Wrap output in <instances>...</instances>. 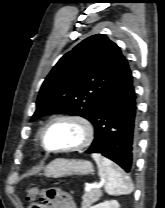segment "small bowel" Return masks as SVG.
<instances>
[{"instance_id":"small-bowel-1","label":"small bowel","mask_w":165,"mask_h":208,"mask_svg":"<svg viewBox=\"0 0 165 208\" xmlns=\"http://www.w3.org/2000/svg\"><path fill=\"white\" fill-rule=\"evenodd\" d=\"M28 208H77L71 195L59 188H50L41 195L40 202H33Z\"/></svg>"}]
</instances>
